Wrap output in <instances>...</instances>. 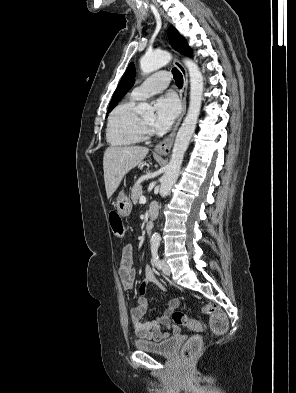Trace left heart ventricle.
<instances>
[{"mask_svg":"<svg viewBox=\"0 0 296 393\" xmlns=\"http://www.w3.org/2000/svg\"><path fill=\"white\" fill-rule=\"evenodd\" d=\"M142 119H143L146 123L151 124V123H152V120H153V115H152V114H149V115H147V116L142 117Z\"/></svg>","mask_w":296,"mask_h":393,"instance_id":"left-heart-ventricle-1","label":"left heart ventricle"}]
</instances>
